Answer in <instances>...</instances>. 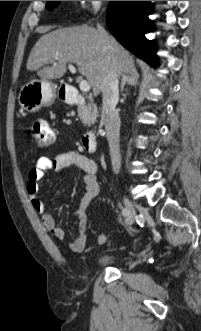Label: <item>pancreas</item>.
Segmentation results:
<instances>
[{"label": "pancreas", "instance_id": "obj_1", "mask_svg": "<svg viewBox=\"0 0 201 331\" xmlns=\"http://www.w3.org/2000/svg\"><path fill=\"white\" fill-rule=\"evenodd\" d=\"M78 115L85 125H91L96 121L98 110L95 104L78 105Z\"/></svg>", "mask_w": 201, "mask_h": 331}]
</instances>
